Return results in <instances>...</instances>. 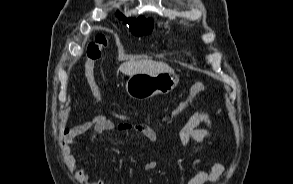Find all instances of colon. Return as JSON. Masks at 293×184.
I'll return each instance as SVG.
<instances>
[{
    "label": "colon",
    "instance_id": "obj_1",
    "mask_svg": "<svg viewBox=\"0 0 293 184\" xmlns=\"http://www.w3.org/2000/svg\"><path fill=\"white\" fill-rule=\"evenodd\" d=\"M108 41L104 35H98L95 39L89 43L86 50V62H85V77L87 83L99 102H103V95L95 80L94 67L95 64L100 60L103 50L107 47ZM206 90V85L202 82L193 84L184 100H182L171 112L170 116H174L184 110L192 100L200 93ZM115 115L121 118H131L126 115L118 114L113 112Z\"/></svg>",
    "mask_w": 293,
    "mask_h": 184
}]
</instances>
